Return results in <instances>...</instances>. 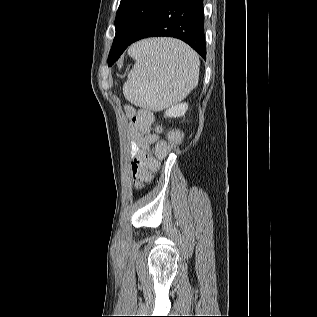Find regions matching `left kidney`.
<instances>
[{"instance_id": "left-kidney-1", "label": "left kidney", "mask_w": 317, "mask_h": 317, "mask_svg": "<svg viewBox=\"0 0 317 317\" xmlns=\"http://www.w3.org/2000/svg\"><path fill=\"white\" fill-rule=\"evenodd\" d=\"M188 110L187 103H180L174 105L165 111V117H182L185 115L186 111Z\"/></svg>"}]
</instances>
